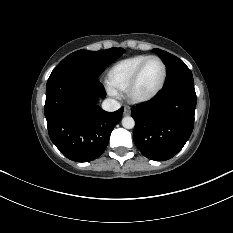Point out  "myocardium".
<instances>
[{"mask_svg": "<svg viewBox=\"0 0 233 233\" xmlns=\"http://www.w3.org/2000/svg\"><path fill=\"white\" fill-rule=\"evenodd\" d=\"M152 59L158 60L161 63L162 67H163V75H162L161 82L158 85V87L153 92H151L150 94L137 95L135 93L136 85H137V83L139 81V78H140V76L142 74V71H143L145 65L148 63V61H150ZM167 74H168L167 65H166L165 61L161 57H159L157 55L148 56L138 66V68L134 72L131 80L129 81V83H128L127 87H126L125 95H126L127 100L129 102H131V103H134V104H141V103H146V102L154 99L162 91V89L164 88L166 80H167Z\"/></svg>", "mask_w": 233, "mask_h": 233, "instance_id": "myocardium-1", "label": "myocardium"}]
</instances>
